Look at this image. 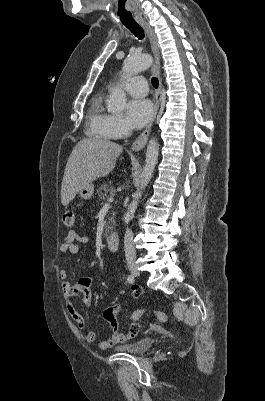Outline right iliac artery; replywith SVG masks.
Listing matches in <instances>:
<instances>
[{
    "mask_svg": "<svg viewBox=\"0 0 265 401\" xmlns=\"http://www.w3.org/2000/svg\"><path fill=\"white\" fill-rule=\"evenodd\" d=\"M127 281H128V283L133 284L134 283V276L133 275H128Z\"/></svg>",
    "mask_w": 265,
    "mask_h": 401,
    "instance_id": "right-iliac-artery-1",
    "label": "right iliac artery"
}]
</instances>
